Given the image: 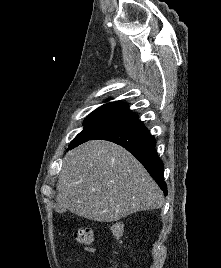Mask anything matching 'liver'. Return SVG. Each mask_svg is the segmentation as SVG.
I'll return each instance as SVG.
<instances>
[{"label":"liver","instance_id":"1","mask_svg":"<svg viewBox=\"0 0 221 268\" xmlns=\"http://www.w3.org/2000/svg\"><path fill=\"white\" fill-rule=\"evenodd\" d=\"M55 210L113 222L159 208L163 194L141 163L123 147L89 141L70 151L57 183Z\"/></svg>","mask_w":221,"mask_h":268}]
</instances>
